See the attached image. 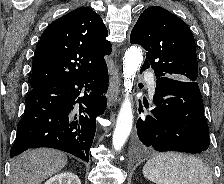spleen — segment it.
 I'll use <instances>...</instances> for the list:
<instances>
[{
  "instance_id": "1",
  "label": "spleen",
  "mask_w": 224,
  "mask_h": 184,
  "mask_svg": "<svg viewBox=\"0 0 224 184\" xmlns=\"http://www.w3.org/2000/svg\"><path fill=\"white\" fill-rule=\"evenodd\" d=\"M143 175L156 184H213L208 167L198 158L182 153H160L143 167Z\"/></svg>"
}]
</instances>
